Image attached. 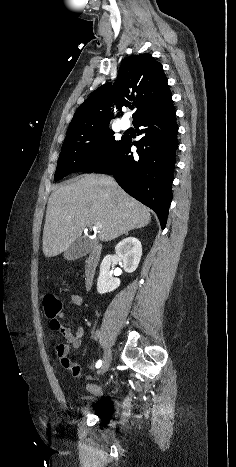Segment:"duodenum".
Wrapping results in <instances>:
<instances>
[{"instance_id": "1", "label": "duodenum", "mask_w": 236, "mask_h": 467, "mask_svg": "<svg viewBox=\"0 0 236 467\" xmlns=\"http://www.w3.org/2000/svg\"><path fill=\"white\" fill-rule=\"evenodd\" d=\"M102 253V246L99 243H93L87 256L84 268V286L89 289L95 278L100 257Z\"/></svg>"}]
</instances>
